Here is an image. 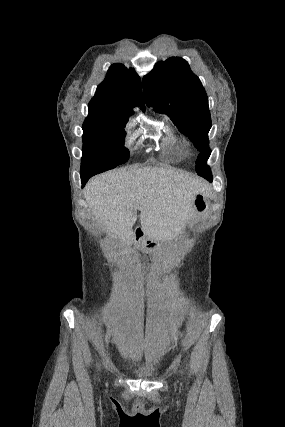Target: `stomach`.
<instances>
[{
    "instance_id": "obj_1",
    "label": "stomach",
    "mask_w": 285,
    "mask_h": 427,
    "mask_svg": "<svg viewBox=\"0 0 285 427\" xmlns=\"http://www.w3.org/2000/svg\"><path fill=\"white\" fill-rule=\"evenodd\" d=\"M194 214L195 215H203L205 214L210 207V200L204 194H197L194 198ZM186 237V233L183 232L173 238H171L167 242H160L154 238L148 237L141 244L142 249L147 252H156L159 249L166 247L171 244L181 243Z\"/></svg>"
}]
</instances>
